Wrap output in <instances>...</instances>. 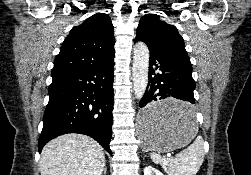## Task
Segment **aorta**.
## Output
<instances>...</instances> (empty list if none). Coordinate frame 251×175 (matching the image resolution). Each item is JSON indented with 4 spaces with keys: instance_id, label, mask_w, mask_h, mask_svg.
I'll return each mask as SVG.
<instances>
[{
    "instance_id": "762f6f07",
    "label": "aorta",
    "mask_w": 251,
    "mask_h": 175,
    "mask_svg": "<svg viewBox=\"0 0 251 175\" xmlns=\"http://www.w3.org/2000/svg\"><path fill=\"white\" fill-rule=\"evenodd\" d=\"M149 72V50L146 44L138 42L133 50V68L132 78L134 86V95L137 99L143 97L147 84Z\"/></svg>"
}]
</instances>
